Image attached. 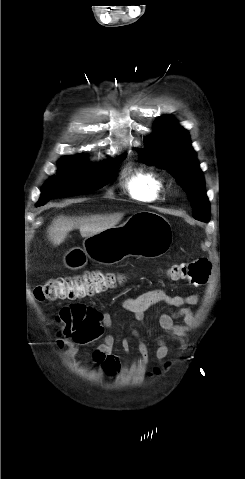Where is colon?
<instances>
[{
    "label": "colon",
    "instance_id": "obj_1",
    "mask_svg": "<svg viewBox=\"0 0 245 479\" xmlns=\"http://www.w3.org/2000/svg\"><path fill=\"white\" fill-rule=\"evenodd\" d=\"M210 273L211 264L203 257L175 264L169 269L172 279L183 280L192 285L206 284ZM121 281L122 277L113 272L86 270L79 274L49 279L33 289V296L39 302L81 299L101 294L117 286ZM88 314V307L80 303L63 308L57 316L62 324V335L79 339L86 326Z\"/></svg>",
    "mask_w": 245,
    "mask_h": 479
}]
</instances>
